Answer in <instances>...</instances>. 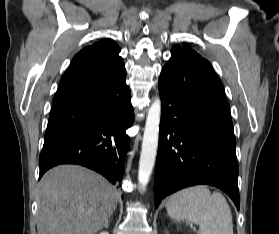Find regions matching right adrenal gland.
Instances as JSON below:
<instances>
[{
  "label": "right adrenal gland",
  "mask_w": 279,
  "mask_h": 234,
  "mask_svg": "<svg viewBox=\"0 0 279 234\" xmlns=\"http://www.w3.org/2000/svg\"><path fill=\"white\" fill-rule=\"evenodd\" d=\"M108 223H109V221H107V222L104 224V226H105V227H108Z\"/></svg>",
  "instance_id": "1"
}]
</instances>
